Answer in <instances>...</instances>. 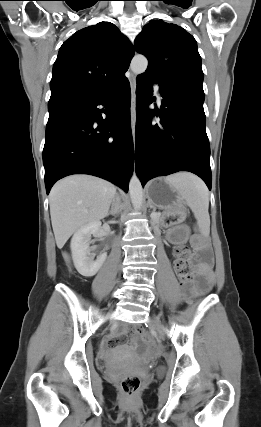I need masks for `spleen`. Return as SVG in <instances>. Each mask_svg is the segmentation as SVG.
Returning <instances> with one entry per match:
<instances>
[{
    "instance_id": "spleen-1",
    "label": "spleen",
    "mask_w": 261,
    "mask_h": 427,
    "mask_svg": "<svg viewBox=\"0 0 261 427\" xmlns=\"http://www.w3.org/2000/svg\"><path fill=\"white\" fill-rule=\"evenodd\" d=\"M166 180L175 186L181 198L192 210L200 231L208 235L210 231L209 192L204 182L190 173H177Z\"/></svg>"
}]
</instances>
